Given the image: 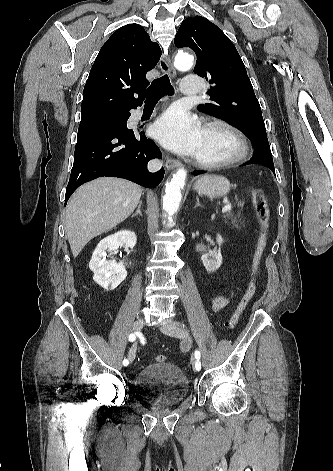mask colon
I'll return each mask as SVG.
<instances>
[{
	"mask_svg": "<svg viewBox=\"0 0 333 471\" xmlns=\"http://www.w3.org/2000/svg\"><path fill=\"white\" fill-rule=\"evenodd\" d=\"M251 199L261 230L252 258V271L250 281L242 299L240 300L236 308V311L226 322V326L228 328H234L237 325L242 311L245 309V307L255 294L256 276L259 271L261 259L267 244L268 231L270 227V211L267 200L260 189H253L251 191ZM155 360L157 362H164L166 360V357L163 354H158L155 356Z\"/></svg>",
	"mask_w": 333,
	"mask_h": 471,
	"instance_id": "obj_1",
	"label": "colon"
}]
</instances>
